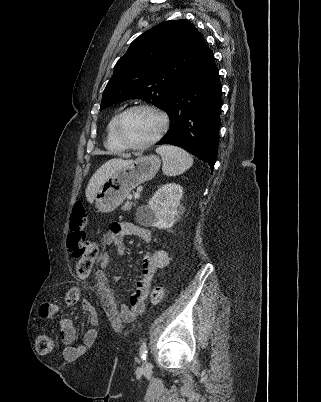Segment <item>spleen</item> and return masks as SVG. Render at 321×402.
I'll list each match as a JSON object with an SVG mask.
<instances>
[{"instance_id": "obj_1", "label": "spleen", "mask_w": 321, "mask_h": 402, "mask_svg": "<svg viewBox=\"0 0 321 402\" xmlns=\"http://www.w3.org/2000/svg\"><path fill=\"white\" fill-rule=\"evenodd\" d=\"M156 152L162 157V171L167 176L183 174L193 164L191 155L176 146L162 145L156 149Z\"/></svg>"}]
</instances>
